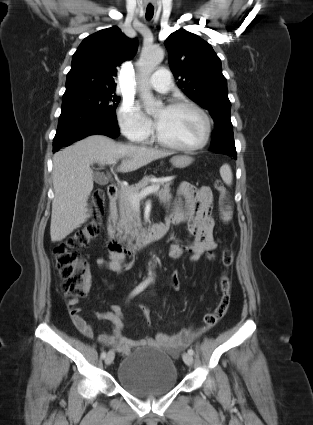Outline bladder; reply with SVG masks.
<instances>
[{
	"mask_svg": "<svg viewBox=\"0 0 313 425\" xmlns=\"http://www.w3.org/2000/svg\"><path fill=\"white\" fill-rule=\"evenodd\" d=\"M117 380L124 390L136 397H157L175 388L177 369L168 351L143 347L122 359Z\"/></svg>",
	"mask_w": 313,
	"mask_h": 425,
	"instance_id": "31cf9c89",
	"label": "bladder"
}]
</instances>
